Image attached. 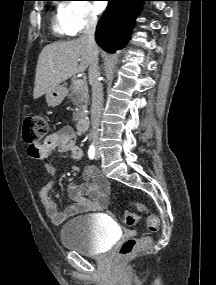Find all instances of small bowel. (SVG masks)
I'll return each mask as SVG.
<instances>
[{
	"instance_id": "c3829d8e",
	"label": "small bowel",
	"mask_w": 216,
	"mask_h": 285,
	"mask_svg": "<svg viewBox=\"0 0 216 285\" xmlns=\"http://www.w3.org/2000/svg\"><path fill=\"white\" fill-rule=\"evenodd\" d=\"M57 150L59 153H67L76 160L83 159V150L77 145V133L70 127L65 126L53 131L43 141L40 153L36 158L46 160L45 170L53 174L55 168L49 157ZM54 184H46L39 192L40 200L50 220L56 224H62L66 219L85 212L100 211L108 205L109 184L101 176L94 166L85 167L82 178L77 183H71L68 194L73 203L63 211H59L52 194Z\"/></svg>"
}]
</instances>
